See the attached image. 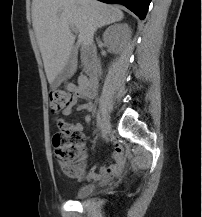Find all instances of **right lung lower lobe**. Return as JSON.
<instances>
[{
    "label": "right lung lower lobe",
    "instance_id": "obj_1",
    "mask_svg": "<svg viewBox=\"0 0 202 217\" xmlns=\"http://www.w3.org/2000/svg\"><path fill=\"white\" fill-rule=\"evenodd\" d=\"M108 4H122L143 20L151 0H99Z\"/></svg>",
    "mask_w": 202,
    "mask_h": 217
}]
</instances>
